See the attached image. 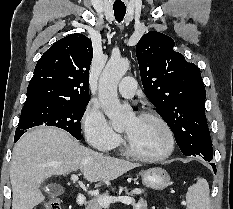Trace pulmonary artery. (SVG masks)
<instances>
[{
  "mask_svg": "<svg viewBox=\"0 0 233 209\" xmlns=\"http://www.w3.org/2000/svg\"><path fill=\"white\" fill-rule=\"evenodd\" d=\"M118 91L121 96L131 98L136 92V80L133 77H124L118 86Z\"/></svg>",
  "mask_w": 233,
  "mask_h": 209,
  "instance_id": "1",
  "label": "pulmonary artery"
}]
</instances>
